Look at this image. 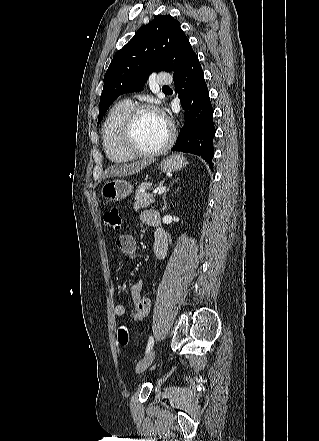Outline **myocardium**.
Returning <instances> with one entry per match:
<instances>
[{
    "label": "myocardium",
    "instance_id": "f54148a6",
    "mask_svg": "<svg viewBox=\"0 0 319 441\" xmlns=\"http://www.w3.org/2000/svg\"><path fill=\"white\" fill-rule=\"evenodd\" d=\"M144 112H154L159 114L165 120L168 128L167 137L164 143L158 148L149 151L143 150L140 147H138L133 137L134 128L137 123L138 117ZM174 138H175L174 125L162 115V113L156 106L145 103L133 105V107L127 113L122 123L121 131H120V143L122 147L131 155L137 157H152L164 153L172 145Z\"/></svg>",
    "mask_w": 319,
    "mask_h": 441
}]
</instances>
